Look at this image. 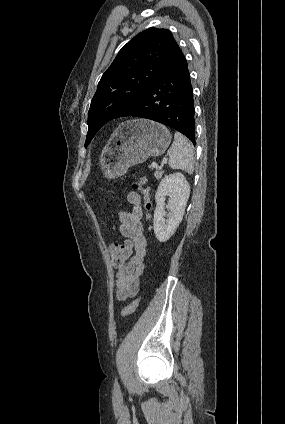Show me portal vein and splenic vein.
Listing matches in <instances>:
<instances>
[{
  "label": "portal vein and splenic vein",
  "instance_id": "1",
  "mask_svg": "<svg viewBox=\"0 0 285 424\" xmlns=\"http://www.w3.org/2000/svg\"><path fill=\"white\" fill-rule=\"evenodd\" d=\"M150 167H152V168H157V167H158V164H157V163H152V164L150 165Z\"/></svg>",
  "mask_w": 285,
  "mask_h": 424
}]
</instances>
